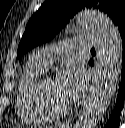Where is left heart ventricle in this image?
I'll list each match as a JSON object with an SVG mask.
<instances>
[{"label":"left heart ventricle","mask_w":125,"mask_h":128,"mask_svg":"<svg viewBox=\"0 0 125 128\" xmlns=\"http://www.w3.org/2000/svg\"><path fill=\"white\" fill-rule=\"evenodd\" d=\"M44 91L47 99L55 106H67L69 102L63 97L57 82L56 77L49 78L45 85Z\"/></svg>","instance_id":"left-heart-ventricle-1"}]
</instances>
